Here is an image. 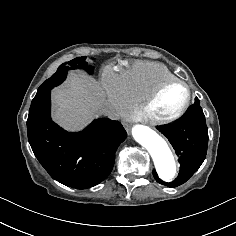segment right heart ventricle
<instances>
[{
  "label": "right heart ventricle",
  "instance_id": "obj_1",
  "mask_svg": "<svg viewBox=\"0 0 236 236\" xmlns=\"http://www.w3.org/2000/svg\"><path fill=\"white\" fill-rule=\"evenodd\" d=\"M175 78L163 64L136 62L123 75L124 93L130 104H139L159 83Z\"/></svg>",
  "mask_w": 236,
  "mask_h": 236
}]
</instances>
